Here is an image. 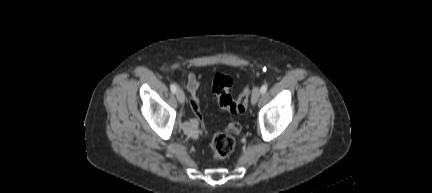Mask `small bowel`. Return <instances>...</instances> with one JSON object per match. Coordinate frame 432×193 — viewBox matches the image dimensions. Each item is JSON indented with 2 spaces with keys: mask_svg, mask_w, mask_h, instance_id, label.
Instances as JSON below:
<instances>
[{
  "mask_svg": "<svg viewBox=\"0 0 432 193\" xmlns=\"http://www.w3.org/2000/svg\"><path fill=\"white\" fill-rule=\"evenodd\" d=\"M199 84L200 82L198 77L194 73L189 74L186 88L190 94V107L193 113L198 118H201L200 100L198 97ZM240 130H241V125L238 122H231L225 128V131L227 133H234V134L239 133Z\"/></svg>",
  "mask_w": 432,
  "mask_h": 193,
  "instance_id": "c3829d8e",
  "label": "small bowel"
}]
</instances>
